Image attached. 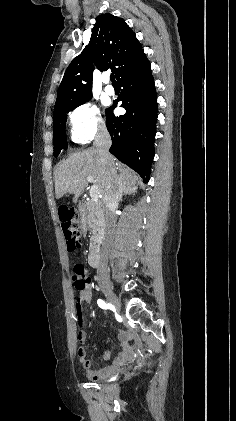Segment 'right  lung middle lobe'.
Masks as SVG:
<instances>
[{"instance_id":"1","label":"right lung middle lobe","mask_w":236,"mask_h":421,"mask_svg":"<svg viewBox=\"0 0 236 421\" xmlns=\"http://www.w3.org/2000/svg\"><path fill=\"white\" fill-rule=\"evenodd\" d=\"M90 98L69 103L54 109L53 113V128H54V155L57 157L61 149H67V141L65 134V125L67 120V113L74 110L79 105L87 102Z\"/></svg>"}]
</instances>
